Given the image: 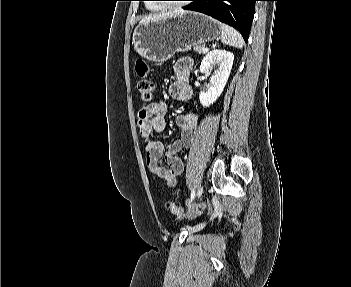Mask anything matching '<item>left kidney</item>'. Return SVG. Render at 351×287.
I'll return each mask as SVG.
<instances>
[{
    "instance_id": "1",
    "label": "left kidney",
    "mask_w": 351,
    "mask_h": 287,
    "mask_svg": "<svg viewBox=\"0 0 351 287\" xmlns=\"http://www.w3.org/2000/svg\"><path fill=\"white\" fill-rule=\"evenodd\" d=\"M233 61V53L220 49L210 51L203 58L200 65V72L202 74L209 76L213 66H218V69L211 75V85L208 91L200 92L199 99L203 107H209L223 92L232 69Z\"/></svg>"
}]
</instances>
